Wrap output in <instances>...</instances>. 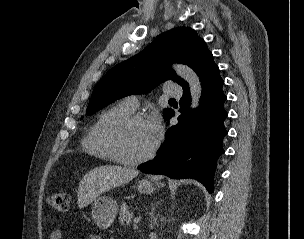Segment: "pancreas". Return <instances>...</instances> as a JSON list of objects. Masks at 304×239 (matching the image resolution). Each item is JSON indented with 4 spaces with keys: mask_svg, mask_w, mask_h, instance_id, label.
<instances>
[{
    "mask_svg": "<svg viewBox=\"0 0 304 239\" xmlns=\"http://www.w3.org/2000/svg\"><path fill=\"white\" fill-rule=\"evenodd\" d=\"M133 218L132 213L129 211V206L126 203H123L119 209V223L129 224Z\"/></svg>",
    "mask_w": 304,
    "mask_h": 239,
    "instance_id": "obj_1",
    "label": "pancreas"
}]
</instances>
